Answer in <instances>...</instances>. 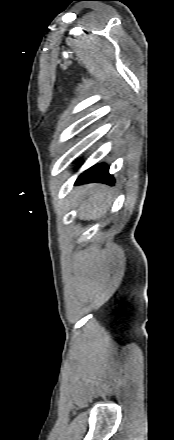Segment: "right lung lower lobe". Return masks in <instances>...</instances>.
Masks as SVG:
<instances>
[{
    "instance_id": "98d812e1",
    "label": "right lung lower lobe",
    "mask_w": 174,
    "mask_h": 440,
    "mask_svg": "<svg viewBox=\"0 0 174 440\" xmlns=\"http://www.w3.org/2000/svg\"><path fill=\"white\" fill-rule=\"evenodd\" d=\"M109 167L101 164L95 165L81 174L76 184L90 183V182H102L109 185L114 184V178L108 172Z\"/></svg>"
}]
</instances>
